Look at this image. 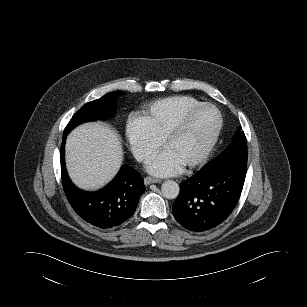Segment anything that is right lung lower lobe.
Instances as JSON below:
<instances>
[{
	"label": "right lung lower lobe",
	"instance_id": "obj_1",
	"mask_svg": "<svg viewBox=\"0 0 307 307\" xmlns=\"http://www.w3.org/2000/svg\"><path fill=\"white\" fill-rule=\"evenodd\" d=\"M63 135L60 151L61 176L65 194L74 211L85 221L101 229L115 228L128 220L145 191L143 178L133 168L123 166L105 188L96 192L78 189L68 177L64 161Z\"/></svg>",
	"mask_w": 307,
	"mask_h": 307
}]
</instances>
